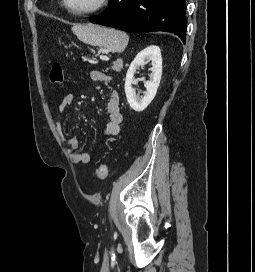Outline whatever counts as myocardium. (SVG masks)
I'll return each mask as SVG.
<instances>
[{
	"mask_svg": "<svg viewBox=\"0 0 255 272\" xmlns=\"http://www.w3.org/2000/svg\"><path fill=\"white\" fill-rule=\"evenodd\" d=\"M63 7L71 14L76 15V16H86L90 14L97 13L101 10H103L107 4L109 3V0H98L96 5H94L91 8L84 9V10H75L72 9L69 4L68 0H61Z\"/></svg>",
	"mask_w": 255,
	"mask_h": 272,
	"instance_id": "1",
	"label": "myocardium"
}]
</instances>
